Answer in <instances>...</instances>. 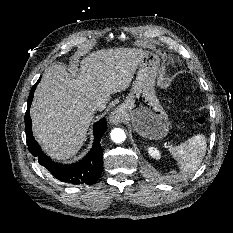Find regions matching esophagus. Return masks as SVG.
<instances>
[{
  "label": "esophagus",
  "instance_id": "1",
  "mask_svg": "<svg viewBox=\"0 0 233 233\" xmlns=\"http://www.w3.org/2000/svg\"><path fill=\"white\" fill-rule=\"evenodd\" d=\"M109 120L112 124H118L123 121V114L120 110L115 109L111 114L109 115Z\"/></svg>",
  "mask_w": 233,
  "mask_h": 233
}]
</instances>
